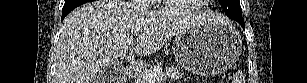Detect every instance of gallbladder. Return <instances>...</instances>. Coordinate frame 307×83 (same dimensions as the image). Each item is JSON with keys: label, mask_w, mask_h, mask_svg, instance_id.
<instances>
[{"label": "gallbladder", "mask_w": 307, "mask_h": 83, "mask_svg": "<svg viewBox=\"0 0 307 83\" xmlns=\"http://www.w3.org/2000/svg\"><path fill=\"white\" fill-rule=\"evenodd\" d=\"M118 75V70L105 67L97 73L96 79L99 83H113L116 82Z\"/></svg>", "instance_id": "1"}]
</instances>
